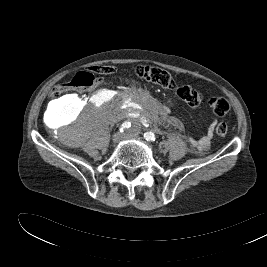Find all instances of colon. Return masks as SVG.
<instances>
[{
  "label": "colon",
  "mask_w": 267,
  "mask_h": 267,
  "mask_svg": "<svg viewBox=\"0 0 267 267\" xmlns=\"http://www.w3.org/2000/svg\"><path fill=\"white\" fill-rule=\"evenodd\" d=\"M114 71L112 66H95L90 71H81L74 75L71 80L64 84L57 85L51 92V98L58 100L65 96L71 90H85L91 88L96 83L94 74L106 75ZM136 76L148 83L163 87L175 88L176 84L172 75L159 67L155 66H140L135 70ZM177 94L190 107H198L205 102L202 94L195 88L185 85L177 88ZM73 99V98H71ZM208 105L212 111L219 115L224 116L230 110L229 102L224 97H211L207 100ZM228 131L225 123H219L216 126V135L220 138L226 136Z\"/></svg>",
  "instance_id": "1"
}]
</instances>
